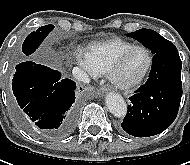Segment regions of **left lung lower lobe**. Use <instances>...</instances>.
Instances as JSON below:
<instances>
[{
    "label": "left lung lower lobe",
    "mask_w": 190,
    "mask_h": 165,
    "mask_svg": "<svg viewBox=\"0 0 190 165\" xmlns=\"http://www.w3.org/2000/svg\"><path fill=\"white\" fill-rule=\"evenodd\" d=\"M182 63L172 45L154 54L147 82L130 98L121 127L135 137L163 132L175 120L182 96Z\"/></svg>",
    "instance_id": "left-lung-lower-lobe-1"
}]
</instances>
